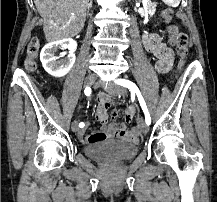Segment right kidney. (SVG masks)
<instances>
[{
    "label": "right kidney",
    "mask_w": 217,
    "mask_h": 202,
    "mask_svg": "<svg viewBox=\"0 0 217 202\" xmlns=\"http://www.w3.org/2000/svg\"><path fill=\"white\" fill-rule=\"evenodd\" d=\"M59 46H64L69 50L67 58L63 60H58V56H55ZM77 48V42L72 40V38H64V40H59V42H51V44H46L41 50L40 60L43 64L44 70L51 74V76H56V78H61L68 74L75 62V52ZM66 56V54H64Z\"/></svg>",
    "instance_id": "obj_1"
}]
</instances>
